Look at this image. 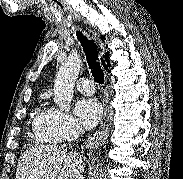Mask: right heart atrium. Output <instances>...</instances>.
<instances>
[{
  "label": "right heart atrium",
  "instance_id": "1",
  "mask_svg": "<svg viewBox=\"0 0 183 179\" xmlns=\"http://www.w3.org/2000/svg\"><path fill=\"white\" fill-rule=\"evenodd\" d=\"M41 129L49 139L59 141L75 133L78 128L69 113L51 107L46 111L43 117Z\"/></svg>",
  "mask_w": 183,
  "mask_h": 179
}]
</instances>
